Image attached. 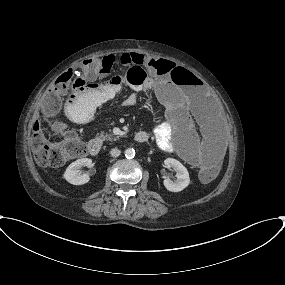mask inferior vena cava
Wrapping results in <instances>:
<instances>
[{"mask_svg":"<svg viewBox=\"0 0 285 285\" xmlns=\"http://www.w3.org/2000/svg\"><path fill=\"white\" fill-rule=\"evenodd\" d=\"M112 157H118L121 154V151L118 148H113L110 151Z\"/></svg>","mask_w":285,"mask_h":285,"instance_id":"602c4592","label":"inferior vena cava"}]
</instances>
